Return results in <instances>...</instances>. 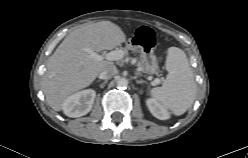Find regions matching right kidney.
Here are the masks:
<instances>
[{"label": "right kidney", "mask_w": 248, "mask_h": 158, "mask_svg": "<svg viewBox=\"0 0 248 158\" xmlns=\"http://www.w3.org/2000/svg\"><path fill=\"white\" fill-rule=\"evenodd\" d=\"M96 92L93 89L79 91L69 96L63 103L66 116L76 118L86 115L92 109Z\"/></svg>", "instance_id": "1"}]
</instances>
